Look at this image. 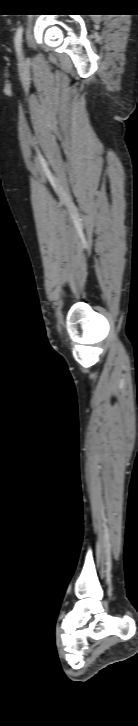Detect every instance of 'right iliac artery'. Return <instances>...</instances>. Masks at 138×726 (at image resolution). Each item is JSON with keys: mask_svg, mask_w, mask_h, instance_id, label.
Instances as JSON below:
<instances>
[{"mask_svg": "<svg viewBox=\"0 0 138 726\" xmlns=\"http://www.w3.org/2000/svg\"><path fill=\"white\" fill-rule=\"evenodd\" d=\"M22 32H23V28L20 27V28H18L16 35H15V46H16V51H17L18 56H20V54H21Z\"/></svg>", "mask_w": 138, "mask_h": 726, "instance_id": "right-iliac-artery-1", "label": "right iliac artery"}]
</instances>
